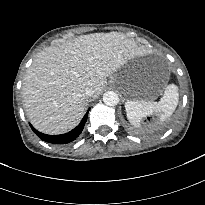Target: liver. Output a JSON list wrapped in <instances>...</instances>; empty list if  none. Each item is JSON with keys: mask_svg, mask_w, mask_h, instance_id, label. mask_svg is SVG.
<instances>
[{"mask_svg": "<svg viewBox=\"0 0 205 205\" xmlns=\"http://www.w3.org/2000/svg\"><path fill=\"white\" fill-rule=\"evenodd\" d=\"M136 43L119 32L81 35L73 41L47 47L28 68L22 84L26 114L33 126L61 134L82 119L89 97L101 94L107 77L141 55Z\"/></svg>", "mask_w": 205, "mask_h": 205, "instance_id": "6515ba94", "label": "liver"}]
</instances>
